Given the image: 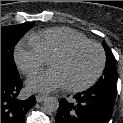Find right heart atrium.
<instances>
[{
	"mask_svg": "<svg viewBox=\"0 0 123 123\" xmlns=\"http://www.w3.org/2000/svg\"><path fill=\"white\" fill-rule=\"evenodd\" d=\"M14 60L24 75H31L45 65L47 59L30 40L19 42L14 51Z\"/></svg>",
	"mask_w": 123,
	"mask_h": 123,
	"instance_id": "d8ad5b80",
	"label": "right heart atrium"
}]
</instances>
